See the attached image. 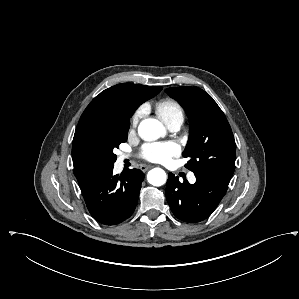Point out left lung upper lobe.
<instances>
[{
    "mask_svg": "<svg viewBox=\"0 0 299 299\" xmlns=\"http://www.w3.org/2000/svg\"><path fill=\"white\" fill-rule=\"evenodd\" d=\"M166 92L187 111L189 139L183 152L185 165L230 182L235 168L236 145L230 125L213 98L198 87L167 88Z\"/></svg>",
    "mask_w": 299,
    "mask_h": 299,
    "instance_id": "1",
    "label": "left lung upper lobe"
}]
</instances>
